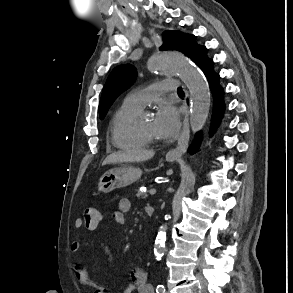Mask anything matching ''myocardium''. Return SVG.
Wrapping results in <instances>:
<instances>
[{"label":"myocardium","instance_id":"obj_1","mask_svg":"<svg viewBox=\"0 0 293 293\" xmlns=\"http://www.w3.org/2000/svg\"><path fill=\"white\" fill-rule=\"evenodd\" d=\"M139 133L141 134V136L149 143V144H155L157 143V139L151 137L150 135L144 133L140 128H138Z\"/></svg>","mask_w":293,"mask_h":293}]
</instances>
